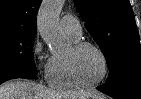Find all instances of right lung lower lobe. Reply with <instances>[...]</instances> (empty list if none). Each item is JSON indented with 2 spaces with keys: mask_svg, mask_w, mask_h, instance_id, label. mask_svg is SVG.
I'll return each instance as SVG.
<instances>
[{
  "mask_svg": "<svg viewBox=\"0 0 141 99\" xmlns=\"http://www.w3.org/2000/svg\"><path fill=\"white\" fill-rule=\"evenodd\" d=\"M36 74L37 73H32L27 71H14V72L3 73V74H0V84L10 79L28 78V77H33Z\"/></svg>",
  "mask_w": 141,
  "mask_h": 99,
  "instance_id": "1",
  "label": "right lung lower lobe"
}]
</instances>
